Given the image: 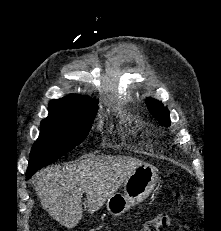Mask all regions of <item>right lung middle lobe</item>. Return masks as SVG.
<instances>
[{"instance_id": "dd1d6c3e", "label": "right lung middle lobe", "mask_w": 221, "mask_h": 231, "mask_svg": "<svg viewBox=\"0 0 221 231\" xmlns=\"http://www.w3.org/2000/svg\"><path fill=\"white\" fill-rule=\"evenodd\" d=\"M97 106L79 114H50L42 120L28 170L37 171L79 145L91 129Z\"/></svg>"}]
</instances>
